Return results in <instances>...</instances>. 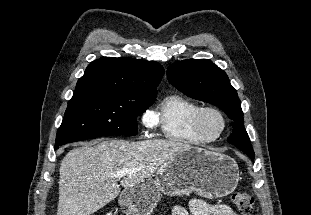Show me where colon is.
Instances as JSON below:
<instances>
[{
    "mask_svg": "<svg viewBox=\"0 0 311 215\" xmlns=\"http://www.w3.org/2000/svg\"><path fill=\"white\" fill-rule=\"evenodd\" d=\"M233 205L241 215H251L254 209V197L247 192H235L231 197Z\"/></svg>",
    "mask_w": 311,
    "mask_h": 215,
    "instance_id": "colon-1",
    "label": "colon"
}]
</instances>
